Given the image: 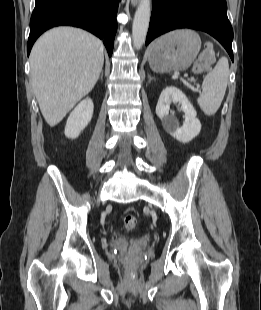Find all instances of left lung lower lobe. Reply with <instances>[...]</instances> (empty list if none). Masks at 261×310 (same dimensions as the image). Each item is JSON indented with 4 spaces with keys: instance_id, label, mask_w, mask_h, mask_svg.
Wrapping results in <instances>:
<instances>
[{
    "instance_id": "1",
    "label": "left lung lower lobe",
    "mask_w": 261,
    "mask_h": 310,
    "mask_svg": "<svg viewBox=\"0 0 261 310\" xmlns=\"http://www.w3.org/2000/svg\"><path fill=\"white\" fill-rule=\"evenodd\" d=\"M178 28L209 33L234 60L233 30L227 17L226 0H153L146 45L159 35Z\"/></svg>"
}]
</instances>
